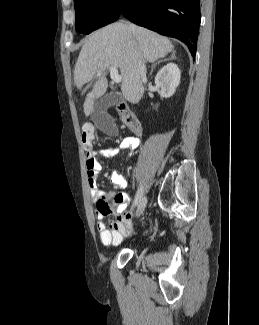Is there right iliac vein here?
Listing matches in <instances>:
<instances>
[{
	"label": "right iliac vein",
	"instance_id": "1",
	"mask_svg": "<svg viewBox=\"0 0 259 325\" xmlns=\"http://www.w3.org/2000/svg\"><path fill=\"white\" fill-rule=\"evenodd\" d=\"M146 204H147V199H146V196L142 192V195L137 203V210H136L137 217H139L144 212Z\"/></svg>",
	"mask_w": 259,
	"mask_h": 325
}]
</instances>
